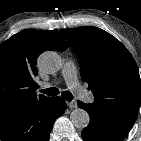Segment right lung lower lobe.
<instances>
[{
	"mask_svg": "<svg viewBox=\"0 0 141 141\" xmlns=\"http://www.w3.org/2000/svg\"><path fill=\"white\" fill-rule=\"evenodd\" d=\"M65 101L52 97L46 102L21 109L0 121L2 141H48L55 120L63 114Z\"/></svg>",
	"mask_w": 141,
	"mask_h": 141,
	"instance_id": "obj_1",
	"label": "right lung lower lobe"
}]
</instances>
